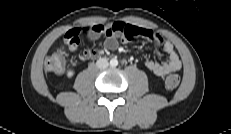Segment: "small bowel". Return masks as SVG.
I'll return each mask as SVG.
<instances>
[{
  "instance_id": "obj_1",
  "label": "small bowel",
  "mask_w": 231,
  "mask_h": 134,
  "mask_svg": "<svg viewBox=\"0 0 231 134\" xmlns=\"http://www.w3.org/2000/svg\"><path fill=\"white\" fill-rule=\"evenodd\" d=\"M101 36H104L103 44L107 50L116 49L118 39L128 42L144 37L157 44L168 55V59L163 63L151 59L145 61L146 67L157 76H165L171 72L179 71L182 67L180 57L171 42L165 40L153 30L140 28L121 21L70 29L65 34L64 42L69 50L74 51L77 49L81 39L92 41ZM101 53L102 51L98 49H87L81 52L79 57L81 60L93 59L101 55Z\"/></svg>"
}]
</instances>
